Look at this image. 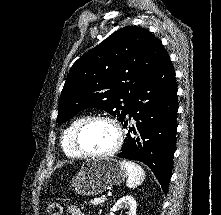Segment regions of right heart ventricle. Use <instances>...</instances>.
Wrapping results in <instances>:
<instances>
[{"mask_svg": "<svg viewBox=\"0 0 221 215\" xmlns=\"http://www.w3.org/2000/svg\"><path fill=\"white\" fill-rule=\"evenodd\" d=\"M86 116H79L73 119L63 132L62 136V148L64 153L71 158H78L81 155L77 151L74 144V134L78 126L86 119Z\"/></svg>", "mask_w": 221, "mask_h": 215, "instance_id": "obj_1", "label": "right heart ventricle"}]
</instances>
